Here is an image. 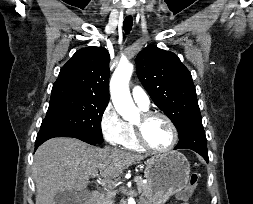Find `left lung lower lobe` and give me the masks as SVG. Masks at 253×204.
<instances>
[{"mask_svg":"<svg viewBox=\"0 0 253 204\" xmlns=\"http://www.w3.org/2000/svg\"><path fill=\"white\" fill-rule=\"evenodd\" d=\"M182 148L194 150L208 162L207 139L201 117L190 121L179 135V142L174 149Z\"/></svg>","mask_w":253,"mask_h":204,"instance_id":"obj_1","label":"left lung lower lobe"}]
</instances>
